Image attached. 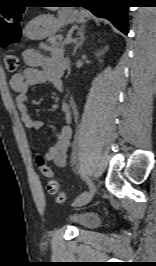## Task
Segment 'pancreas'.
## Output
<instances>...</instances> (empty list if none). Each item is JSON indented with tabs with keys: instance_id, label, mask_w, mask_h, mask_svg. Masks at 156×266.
Masks as SVG:
<instances>
[{
	"instance_id": "cf45deb5",
	"label": "pancreas",
	"mask_w": 156,
	"mask_h": 266,
	"mask_svg": "<svg viewBox=\"0 0 156 266\" xmlns=\"http://www.w3.org/2000/svg\"><path fill=\"white\" fill-rule=\"evenodd\" d=\"M62 40V36L60 35H56V36H50L48 39H47V43L48 45H43V47L49 51L55 49V48H58V47H61L63 48L66 44V41L64 42H61Z\"/></svg>"
}]
</instances>
